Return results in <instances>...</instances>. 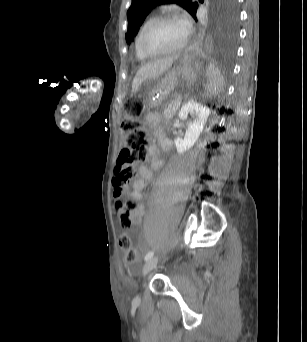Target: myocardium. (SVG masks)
Returning a JSON list of instances; mask_svg holds the SVG:
<instances>
[{
	"label": "myocardium",
	"mask_w": 307,
	"mask_h": 342,
	"mask_svg": "<svg viewBox=\"0 0 307 342\" xmlns=\"http://www.w3.org/2000/svg\"><path fill=\"white\" fill-rule=\"evenodd\" d=\"M165 21L177 23L182 27L181 20L175 16H172V15L160 14V15H157L154 18H152L145 25V28L143 29V31L140 35V38H139V50L145 57H147L149 59H158V58L178 54V53L182 52L188 44L187 35L184 33V38H183L182 42L177 47H175L173 49H170V50H167L164 52H160V53H152V52L147 51V49L145 48L146 37L148 36V34L151 32V30L156 25H158L161 22H165Z\"/></svg>",
	"instance_id": "myocardium-1"
}]
</instances>
